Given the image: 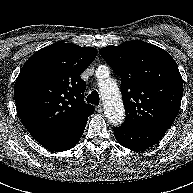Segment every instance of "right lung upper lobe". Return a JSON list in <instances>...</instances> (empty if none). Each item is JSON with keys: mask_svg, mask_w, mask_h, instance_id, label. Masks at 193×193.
<instances>
[{"mask_svg": "<svg viewBox=\"0 0 193 193\" xmlns=\"http://www.w3.org/2000/svg\"><path fill=\"white\" fill-rule=\"evenodd\" d=\"M96 55L93 47L56 42L35 52L23 65L14 98L21 121L36 141L87 123L95 108L84 102L86 82L80 74Z\"/></svg>", "mask_w": 193, "mask_h": 193, "instance_id": "1", "label": "right lung upper lobe"}]
</instances>
